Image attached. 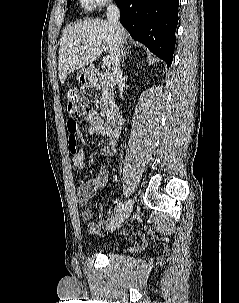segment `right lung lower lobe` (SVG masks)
Segmentation results:
<instances>
[{
	"label": "right lung lower lobe",
	"instance_id": "right-lung-lower-lobe-1",
	"mask_svg": "<svg viewBox=\"0 0 239 303\" xmlns=\"http://www.w3.org/2000/svg\"><path fill=\"white\" fill-rule=\"evenodd\" d=\"M120 23L169 68L175 47L179 0H115Z\"/></svg>",
	"mask_w": 239,
	"mask_h": 303
}]
</instances>
